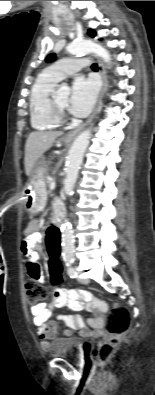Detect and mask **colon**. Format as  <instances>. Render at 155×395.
Segmentation results:
<instances>
[{"instance_id": "1", "label": "colon", "mask_w": 155, "mask_h": 395, "mask_svg": "<svg viewBox=\"0 0 155 395\" xmlns=\"http://www.w3.org/2000/svg\"><path fill=\"white\" fill-rule=\"evenodd\" d=\"M61 229L55 228L54 224L50 225L46 235V251L51 256L48 272H52L54 279V288H61L62 283L59 279H63V266L60 255V245L63 243L61 239ZM26 301L35 305L44 300L47 296L45 287L37 279L30 277L25 281ZM131 321V313L129 309L123 305H115L108 313L107 332L108 338L101 342L96 350V356L101 362H106L112 356L117 345L121 342L123 336L129 329Z\"/></svg>"}]
</instances>
